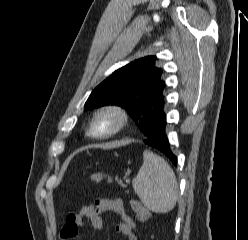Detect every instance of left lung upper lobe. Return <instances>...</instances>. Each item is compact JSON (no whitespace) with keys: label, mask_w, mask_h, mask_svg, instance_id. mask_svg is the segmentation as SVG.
<instances>
[{"label":"left lung upper lobe","mask_w":248,"mask_h":240,"mask_svg":"<svg viewBox=\"0 0 248 240\" xmlns=\"http://www.w3.org/2000/svg\"><path fill=\"white\" fill-rule=\"evenodd\" d=\"M155 60V56H147L116 70L92 91L85 110L108 104L121 106L144 134L165 104V82Z\"/></svg>","instance_id":"left-lung-upper-lobe-1"}]
</instances>
